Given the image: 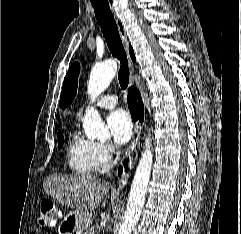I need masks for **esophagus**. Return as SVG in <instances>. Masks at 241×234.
<instances>
[{"mask_svg": "<svg viewBox=\"0 0 241 234\" xmlns=\"http://www.w3.org/2000/svg\"><path fill=\"white\" fill-rule=\"evenodd\" d=\"M109 2V5L111 7V10L113 12V15L115 17V21H116V24H117V27H118V30H119V34H120V38L122 40V43H123V46L126 50V52L128 53V39H127V35H126V32H125V29H124V26H123V23L122 21L117 17V15L115 14V11H114V8H113V5H112V1L111 0H108ZM128 58H129V68H130V72L133 73L134 71V66H133V63H132V60L131 58L129 57L128 55ZM130 84L133 85L134 84V80H133V77L131 76V79H130ZM140 133H141V127H140V122L137 120L136 123H135V128H134V133H133V139L131 141V144L128 148V156H129V167H132L133 165V162L136 160L137 158V154H138V151L140 149ZM125 173H123V177H125ZM122 190V185L119 183L116 191L117 192H120Z\"/></svg>", "mask_w": 241, "mask_h": 234, "instance_id": "esophagus-1", "label": "esophagus"}]
</instances>
